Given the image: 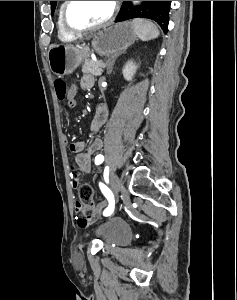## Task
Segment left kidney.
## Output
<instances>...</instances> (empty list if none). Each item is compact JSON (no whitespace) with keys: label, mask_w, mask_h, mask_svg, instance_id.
Here are the masks:
<instances>
[{"label":"left kidney","mask_w":237,"mask_h":300,"mask_svg":"<svg viewBox=\"0 0 237 300\" xmlns=\"http://www.w3.org/2000/svg\"><path fill=\"white\" fill-rule=\"evenodd\" d=\"M138 67L134 61H127L126 65L123 67V77L126 81H132Z\"/></svg>","instance_id":"1"}]
</instances>
